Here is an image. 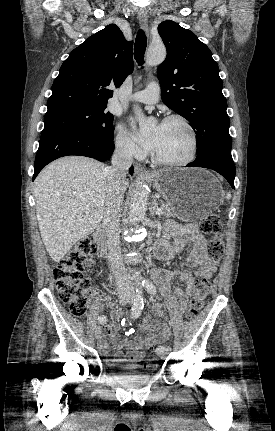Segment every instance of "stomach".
<instances>
[{"mask_svg":"<svg viewBox=\"0 0 275 431\" xmlns=\"http://www.w3.org/2000/svg\"><path fill=\"white\" fill-rule=\"evenodd\" d=\"M175 215L183 221H196L216 210L223 190L215 176L200 168L165 169L150 178Z\"/></svg>","mask_w":275,"mask_h":431,"instance_id":"obj_1","label":"stomach"}]
</instances>
